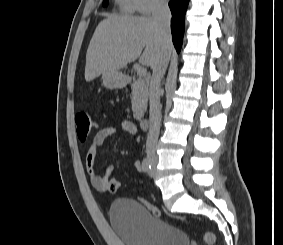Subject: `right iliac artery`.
Here are the masks:
<instances>
[{
  "mask_svg": "<svg viewBox=\"0 0 283 245\" xmlns=\"http://www.w3.org/2000/svg\"><path fill=\"white\" fill-rule=\"evenodd\" d=\"M142 168L145 173H149L151 171V164L149 163L147 158L143 159Z\"/></svg>",
  "mask_w": 283,
  "mask_h": 245,
  "instance_id": "1",
  "label": "right iliac artery"
}]
</instances>
